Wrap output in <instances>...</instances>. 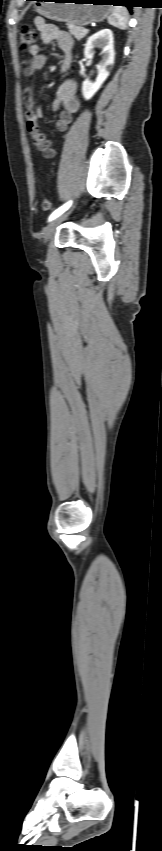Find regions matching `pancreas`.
<instances>
[{"mask_svg": "<svg viewBox=\"0 0 162 851\" xmlns=\"http://www.w3.org/2000/svg\"><path fill=\"white\" fill-rule=\"evenodd\" d=\"M67 27L69 29V33L73 35L77 40H81L84 38L88 32H84V28L82 26L75 25L73 23H68Z\"/></svg>", "mask_w": 162, "mask_h": 851, "instance_id": "obj_1", "label": "pancreas"}]
</instances>
